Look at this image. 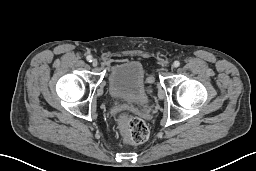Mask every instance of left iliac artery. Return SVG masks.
Listing matches in <instances>:
<instances>
[{"label": "left iliac artery", "instance_id": "left-iliac-artery-1", "mask_svg": "<svg viewBox=\"0 0 256 171\" xmlns=\"http://www.w3.org/2000/svg\"><path fill=\"white\" fill-rule=\"evenodd\" d=\"M179 65H180V62H179V61H175V62H174V66H175V67H178Z\"/></svg>", "mask_w": 256, "mask_h": 171}]
</instances>
